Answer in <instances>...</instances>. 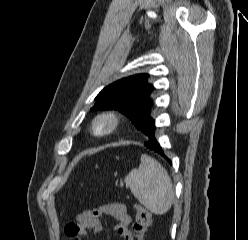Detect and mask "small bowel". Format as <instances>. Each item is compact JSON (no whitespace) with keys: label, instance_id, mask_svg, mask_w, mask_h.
Returning <instances> with one entry per match:
<instances>
[{"label":"small bowel","instance_id":"obj_1","mask_svg":"<svg viewBox=\"0 0 248 240\" xmlns=\"http://www.w3.org/2000/svg\"><path fill=\"white\" fill-rule=\"evenodd\" d=\"M104 216H110L117 221L114 229L120 237L133 240L130 231L131 217L127 213L125 205L119 202L102 204L94 209L82 212L75 217L74 221L65 226L64 235L72 240H82L90 232H101Z\"/></svg>","mask_w":248,"mask_h":240}]
</instances>
